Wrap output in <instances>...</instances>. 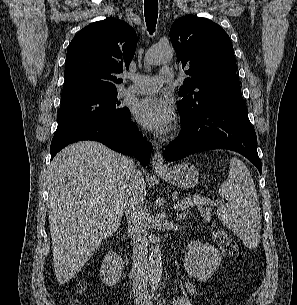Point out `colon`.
<instances>
[{"label":"colon","instance_id":"obj_1","mask_svg":"<svg viewBox=\"0 0 297 305\" xmlns=\"http://www.w3.org/2000/svg\"><path fill=\"white\" fill-rule=\"evenodd\" d=\"M216 241L219 244L223 252L230 257L236 259L240 258L238 243L223 231H218L215 235ZM72 305H79L78 302H74Z\"/></svg>","mask_w":297,"mask_h":305}]
</instances>
